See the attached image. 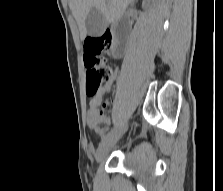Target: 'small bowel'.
<instances>
[{
	"instance_id": "obj_1",
	"label": "small bowel",
	"mask_w": 223,
	"mask_h": 191,
	"mask_svg": "<svg viewBox=\"0 0 223 191\" xmlns=\"http://www.w3.org/2000/svg\"><path fill=\"white\" fill-rule=\"evenodd\" d=\"M118 55V54H117ZM116 70L112 71V75L109 80L104 84L99 94L93 97L90 101V109L87 113L88 126L100 136H103L109 130L111 119L98 110L99 105L102 102V98L105 94H108L111 90L112 83L116 77Z\"/></svg>"
}]
</instances>
